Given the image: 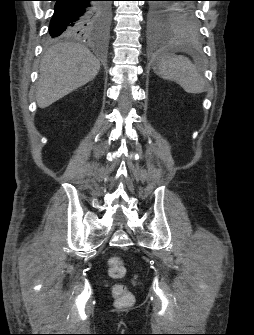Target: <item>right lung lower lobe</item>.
I'll use <instances>...</instances> for the list:
<instances>
[{"instance_id": "1", "label": "right lung lower lobe", "mask_w": 254, "mask_h": 335, "mask_svg": "<svg viewBox=\"0 0 254 335\" xmlns=\"http://www.w3.org/2000/svg\"><path fill=\"white\" fill-rule=\"evenodd\" d=\"M54 14L49 25V37L69 33L90 34V27L99 15V0H54Z\"/></svg>"}]
</instances>
